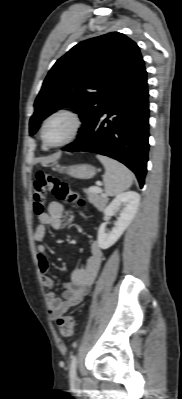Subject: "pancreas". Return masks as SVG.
<instances>
[{
	"label": "pancreas",
	"mask_w": 182,
	"mask_h": 399,
	"mask_svg": "<svg viewBox=\"0 0 182 399\" xmlns=\"http://www.w3.org/2000/svg\"><path fill=\"white\" fill-rule=\"evenodd\" d=\"M89 200L97 207L101 206L107 199L102 192L86 190Z\"/></svg>",
	"instance_id": "pancreas-1"
}]
</instances>
